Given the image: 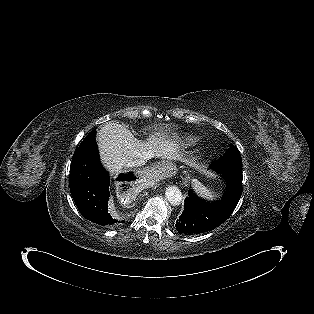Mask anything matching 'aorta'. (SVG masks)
<instances>
[{
    "mask_svg": "<svg viewBox=\"0 0 314 314\" xmlns=\"http://www.w3.org/2000/svg\"><path fill=\"white\" fill-rule=\"evenodd\" d=\"M168 202L173 206H178L182 201V193L176 186H168L165 191Z\"/></svg>",
    "mask_w": 314,
    "mask_h": 314,
    "instance_id": "762f6f07",
    "label": "aorta"
}]
</instances>
